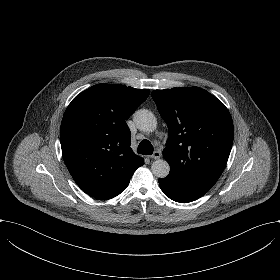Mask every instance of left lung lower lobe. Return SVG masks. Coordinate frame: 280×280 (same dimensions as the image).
<instances>
[{
	"mask_svg": "<svg viewBox=\"0 0 280 280\" xmlns=\"http://www.w3.org/2000/svg\"><path fill=\"white\" fill-rule=\"evenodd\" d=\"M159 184L167 197L181 203L192 202L203 196L211 188V186L208 185L195 184L179 186L176 182L167 177L159 179Z\"/></svg>",
	"mask_w": 280,
	"mask_h": 280,
	"instance_id": "0a47b994",
	"label": "left lung lower lobe"
}]
</instances>
